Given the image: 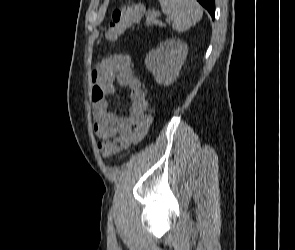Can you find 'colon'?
I'll return each mask as SVG.
<instances>
[{"mask_svg": "<svg viewBox=\"0 0 295 250\" xmlns=\"http://www.w3.org/2000/svg\"><path fill=\"white\" fill-rule=\"evenodd\" d=\"M143 6L134 3L124 9L115 10L112 14L109 24L104 27V34L108 40H114L123 35L126 30L135 22H137L143 14ZM152 121V116L148 113L145 119L134 128V142L137 144L147 134ZM101 156L106 159L120 152L123 145L118 140H104L97 145Z\"/></svg>", "mask_w": 295, "mask_h": 250, "instance_id": "obj_1", "label": "colon"}]
</instances>
